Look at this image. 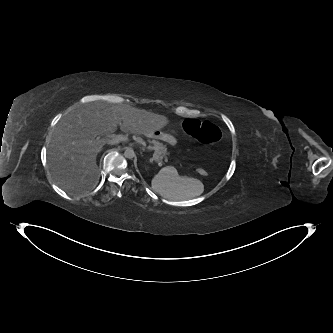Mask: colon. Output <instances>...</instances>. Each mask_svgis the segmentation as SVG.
<instances>
[{
    "label": "colon",
    "instance_id": "colon-1",
    "mask_svg": "<svg viewBox=\"0 0 333 333\" xmlns=\"http://www.w3.org/2000/svg\"><path fill=\"white\" fill-rule=\"evenodd\" d=\"M182 126L188 135L205 144L217 143L222 138L221 130L213 123L207 121L185 119ZM198 173L200 175L206 174L202 169H199Z\"/></svg>",
    "mask_w": 333,
    "mask_h": 333
}]
</instances>
